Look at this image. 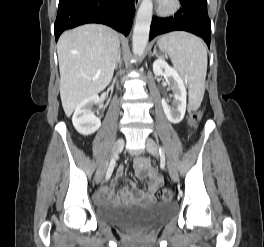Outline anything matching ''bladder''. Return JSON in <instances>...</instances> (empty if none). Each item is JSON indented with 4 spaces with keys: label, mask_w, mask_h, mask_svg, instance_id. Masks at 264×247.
Instances as JSON below:
<instances>
[{
    "label": "bladder",
    "mask_w": 264,
    "mask_h": 247,
    "mask_svg": "<svg viewBox=\"0 0 264 247\" xmlns=\"http://www.w3.org/2000/svg\"><path fill=\"white\" fill-rule=\"evenodd\" d=\"M96 213L100 222L110 226L130 231H147L169 221L174 214V205L167 202L108 205L97 207Z\"/></svg>",
    "instance_id": "obj_1"
}]
</instances>
